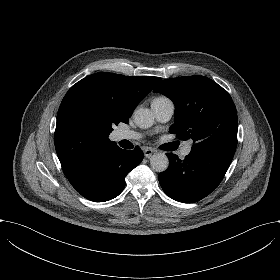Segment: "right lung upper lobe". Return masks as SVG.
<instances>
[{
	"instance_id": "obj_1",
	"label": "right lung upper lobe",
	"mask_w": 280,
	"mask_h": 280,
	"mask_svg": "<svg viewBox=\"0 0 280 280\" xmlns=\"http://www.w3.org/2000/svg\"><path fill=\"white\" fill-rule=\"evenodd\" d=\"M161 80L99 72L73 85L57 114L55 149L66 174L91 154L117 147L112 125L128 123L138 103Z\"/></svg>"
}]
</instances>
